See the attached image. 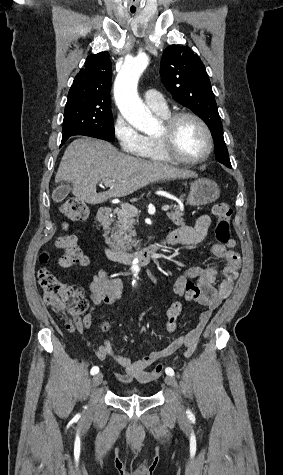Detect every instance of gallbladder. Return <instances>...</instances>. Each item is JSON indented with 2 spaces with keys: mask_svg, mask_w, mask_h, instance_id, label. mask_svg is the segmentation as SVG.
Returning a JSON list of instances; mask_svg holds the SVG:
<instances>
[{
  "mask_svg": "<svg viewBox=\"0 0 283 475\" xmlns=\"http://www.w3.org/2000/svg\"><path fill=\"white\" fill-rule=\"evenodd\" d=\"M70 192L71 186H59L57 190H54L52 200H54V202H62Z\"/></svg>",
  "mask_w": 283,
  "mask_h": 475,
  "instance_id": "gallbladder-1",
  "label": "gallbladder"
}]
</instances>
